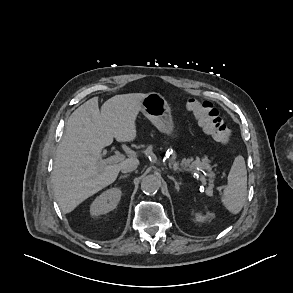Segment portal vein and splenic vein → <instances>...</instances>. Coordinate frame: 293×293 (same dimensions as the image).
Wrapping results in <instances>:
<instances>
[{
    "label": "portal vein and splenic vein",
    "mask_w": 293,
    "mask_h": 293,
    "mask_svg": "<svg viewBox=\"0 0 293 293\" xmlns=\"http://www.w3.org/2000/svg\"><path fill=\"white\" fill-rule=\"evenodd\" d=\"M124 159H125V156L123 154L118 153V154L112 155V156L108 157L107 159L103 160L102 163H104V164L118 163V162L123 161ZM180 170L188 172V173H193L194 175L197 176V178H199V176L195 170L186 169V168H181ZM199 179L203 185H206V179L204 177H200Z\"/></svg>",
    "instance_id": "obj_1"
}]
</instances>
